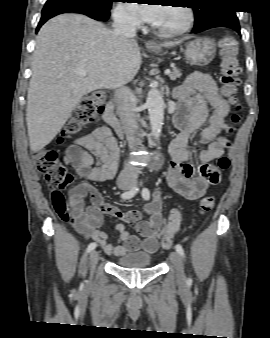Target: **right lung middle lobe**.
<instances>
[{
    "instance_id": "1",
    "label": "right lung middle lobe",
    "mask_w": 270,
    "mask_h": 338,
    "mask_svg": "<svg viewBox=\"0 0 270 338\" xmlns=\"http://www.w3.org/2000/svg\"><path fill=\"white\" fill-rule=\"evenodd\" d=\"M115 0H47L45 5H83L110 10Z\"/></svg>"
}]
</instances>
